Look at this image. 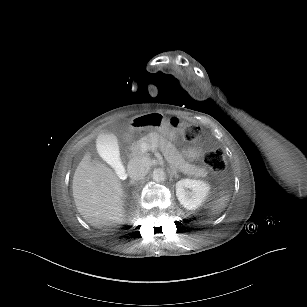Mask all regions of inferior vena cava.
Returning a JSON list of instances; mask_svg holds the SVG:
<instances>
[{"label":"inferior vena cava","instance_id":"602c4592","mask_svg":"<svg viewBox=\"0 0 307 307\" xmlns=\"http://www.w3.org/2000/svg\"><path fill=\"white\" fill-rule=\"evenodd\" d=\"M127 172L132 180H140L148 174V168L139 159L133 158L128 163Z\"/></svg>","mask_w":307,"mask_h":307}]
</instances>
